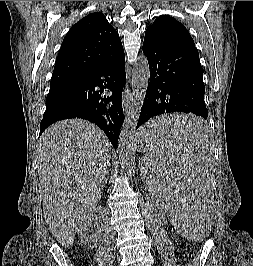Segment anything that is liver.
I'll use <instances>...</instances> for the list:
<instances>
[{
  "instance_id": "6515ba94",
  "label": "liver",
  "mask_w": 253,
  "mask_h": 266,
  "mask_svg": "<svg viewBox=\"0 0 253 266\" xmlns=\"http://www.w3.org/2000/svg\"><path fill=\"white\" fill-rule=\"evenodd\" d=\"M110 158L108 138L88 121H59L41 135L38 160L43 212L50 232L63 247H72L80 224L95 210Z\"/></svg>"
}]
</instances>
